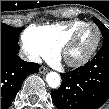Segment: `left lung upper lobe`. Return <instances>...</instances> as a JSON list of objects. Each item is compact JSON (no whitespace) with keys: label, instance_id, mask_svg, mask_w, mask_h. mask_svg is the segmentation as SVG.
Returning <instances> with one entry per match:
<instances>
[{"label":"left lung upper lobe","instance_id":"obj_1","mask_svg":"<svg viewBox=\"0 0 109 109\" xmlns=\"http://www.w3.org/2000/svg\"><path fill=\"white\" fill-rule=\"evenodd\" d=\"M96 25L100 28L103 35V45L109 44V30L96 18H93Z\"/></svg>","mask_w":109,"mask_h":109}]
</instances>
